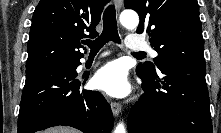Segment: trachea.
<instances>
[{"mask_svg":"<svg viewBox=\"0 0 221 133\" xmlns=\"http://www.w3.org/2000/svg\"><path fill=\"white\" fill-rule=\"evenodd\" d=\"M109 41L121 43L117 30L114 5H109L103 14V32L101 35L93 41L87 40L85 44L91 49V52H98ZM133 55L140 57L146 56L143 52H136Z\"/></svg>","mask_w":221,"mask_h":133,"instance_id":"trachea-1","label":"trachea"}]
</instances>
